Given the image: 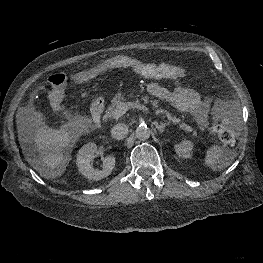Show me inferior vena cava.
Instances as JSON below:
<instances>
[{
    "label": "inferior vena cava",
    "instance_id": "inferior-vena-cava-1",
    "mask_svg": "<svg viewBox=\"0 0 263 263\" xmlns=\"http://www.w3.org/2000/svg\"><path fill=\"white\" fill-rule=\"evenodd\" d=\"M128 134V126L123 123L116 124L111 129V136L116 140H121Z\"/></svg>",
    "mask_w": 263,
    "mask_h": 263
}]
</instances>
